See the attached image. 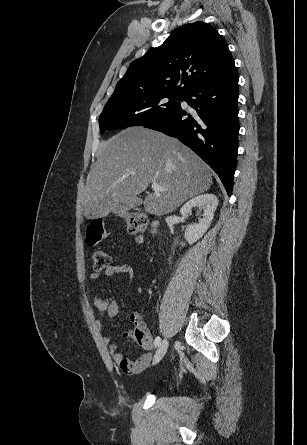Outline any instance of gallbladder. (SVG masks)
<instances>
[{
    "mask_svg": "<svg viewBox=\"0 0 307 445\" xmlns=\"http://www.w3.org/2000/svg\"><path fill=\"white\" fill-rule=\"evenodd\" d=\"M143 200L137 195H127L122 198L120 204L116 206V209L120 212H127L131 208L138 209L140 205H142Z\"/></svg>",
    "mask_w": 307,
    "mask_h": 445,
    "instance_id": "gallbladder-1",
    "label": "gallbladder"
}]
</instances>
